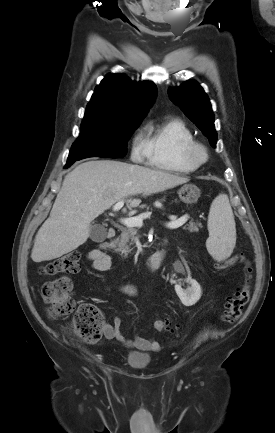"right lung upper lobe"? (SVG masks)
<instances>
[{"instance_id": "obj_1", "label": "right lung upper lobe", "mask_w": 275, "mask_h": 433, "mask_svg": "<svg viewBox=\"0 0 275 433\" xmlns=\"http://www.w3.org/2000/svg\"><path fill=\"white\" fill-rule=\"evenodd\" d=\"M156 85L132 82L122 74H108L96 87L83 122L119 124L142 121L154 102Z\"/></svg>"}]
</instances>
